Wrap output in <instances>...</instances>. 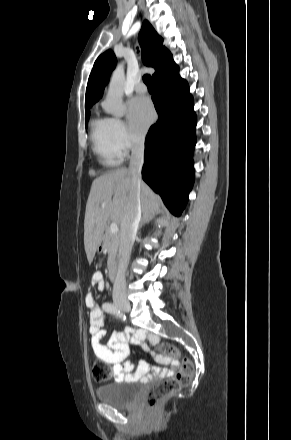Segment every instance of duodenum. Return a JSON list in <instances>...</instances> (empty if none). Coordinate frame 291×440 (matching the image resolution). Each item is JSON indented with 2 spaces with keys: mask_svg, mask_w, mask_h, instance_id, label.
Here are the masks:
<instances>
[{
  "mask_svg": "<svg viewBox=\"0 0 291 440\" xmlns=\"http://www.w3.org/2000/svg\"><path fill=\"white\" fill-rule=\"evenodd\" d=\"M108 275L112 281H115L117 278L116 267L114 264H110L108 268Z\"/></svg>",
  "mask_w": 291,
  "mask_h": 440,
  "instance_id": "410a0bca",
  "label": "duodenum"
}]
</instances>
